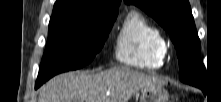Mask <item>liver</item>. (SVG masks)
Returning a JSON list of instances; mask_svg holds the SVG:
<instances>
[{"mask_svg":"<svg viewBox=\"0 0 221 102\" xmlns=\"http://www.w3.org/2000/svg\"><path fill=\"white\" fill-rule=\"evenodd\" d=\"M162 80L127 67L98 74L69 72L48 81L38 102H128L139 90L160 85Z\"/></svg>","mask_w":221,"mask_h":102,"instance_id":"1","label":"liver"}]
</instances>
